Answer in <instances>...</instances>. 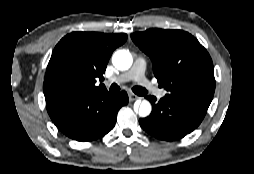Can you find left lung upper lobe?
Segmentation results:
<instances>
[{
    "label": "left lung upper lobe",
    "mask_w": 254,
    "mask_h": 174,
    "mask_svg": "<svg viewBox=\"0 0 254 174\" xmlns=\"http://www.w3.org/2000/svg\"><path fill=\"white\" fill-rule=\"evenodd\" d=\"M131 38L151 58L167 98L209 107L215 91L213 63L194 36L182 30L149 29Z\"/></svg>",
    "instance_id": "5c2ea615"
}]
</instances>
